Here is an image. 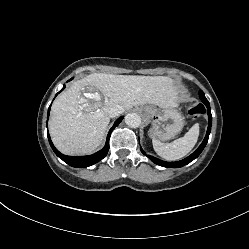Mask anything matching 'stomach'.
Segmentation results:
<instances>
[{"label": "stomach", "mask_w": 249, "mask_h": 249, "mask_svg": "<svg viewBox=\"0 0 249 249\" xmlns=\"http://www.w3.org/2000/svg\"><path fill=\"white\" fill-rule=\"evenodd\" d=\"M141 110L152 124L149 136L153 139L169 140L184 126V117L174 108L157 109L153 106H144Z\"/></svg>", "instance_id": "obj_1"}]
</instances>
